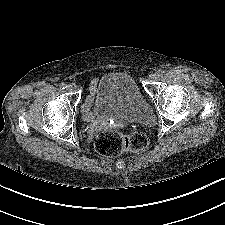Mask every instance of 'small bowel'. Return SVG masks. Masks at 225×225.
Wrapping results in <instances>:
<instances>
[{"instance_id": "1", "label": "small bowel", "mask_w": 225, "mask_h": 225, "mask_svg": "<svg viewBox=\"0 0 225 225\" xmlns=\"http://www.w3.org/2000/svg\"><path fill=\"white\" fill-rule=\"evenodd\" d=\"M96 84V81L91 82V87L94 89V86ZM92 96L87 97L86 101L84 102L82 106V113L85 118L89 119L91 116V107H92Z\"/></svg>"}]
</instances>
